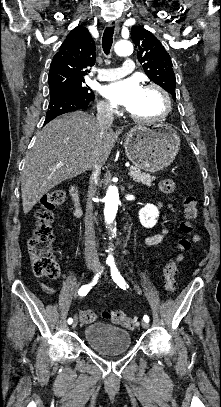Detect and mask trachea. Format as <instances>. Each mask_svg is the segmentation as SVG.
I'll use <instances>...</instances> for the list:
<instances>
[{"label":"trachea","instance_id":"trachea-1","mask_svg":"<svg viewBox=\"0 0 221 407\" xmlns=\"http://www.w3.org/2000/svg\"><path fill=\"white\" fill-rule=\"evenodd\" d=\"M114 27H107L103 33L102 37V48L105 54L110 53V49L113 43Z\"/></svg>","mask_w":221,"mask_h":407}]
</instances>
